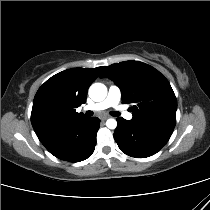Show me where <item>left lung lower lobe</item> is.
Masks as SVG:
<instances>
[{
	"label": "left lung lower lobe",
	"mask_w": 210,
	"mask_h": 210,
	"mask_svg": "<svg viewBox=\"0 0 210 210\" xmlns=\"http://www.w3.org/2000/svg\"><path fill=\"white\" fill-rule=\"evenodd\" d=\"M114 139L125 154L145 158L157 153L169 140L173 129L135 124L119 117Z\"/></svg>",
	"instance_id": "0a47b994"
}]
</instances>
